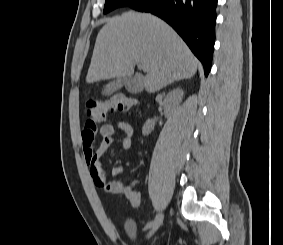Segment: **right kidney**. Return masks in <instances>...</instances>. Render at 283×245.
<instances>
[{"mask_svg":"<svg viewBox=\"0 0 283 245\" xmlns=\"http://www.w3.org/2000/svg\"><path fill=\"white\" fill-rule=\"evenodd\" d=\"M183 95L184 91L180 88H176L170 91L164 99L165 111L168 113L173 110L181 102ZM154 125V120H147V122L142 128L143 135H148L149 133H151L154 128Z\"/></svg>","mask_w":283,"mask_h":245,"instance_id":"1","label":"right kidney"}]
</instances>
